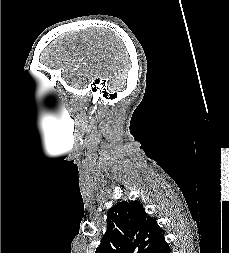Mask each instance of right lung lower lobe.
<instances>
[{
  "label": "right lung lower lobe",
  "mask_w": 229,
  "mask_h": 253,
  "mask_svg": "<svg viewBox=\"0 0 229 253\" xmlns=\"http://www.w3.org/2000/svg\"><path fill=\"white\" fill-rule=\"evenodd\" d=\"M152 253H170V247L164 240L152 251Z\"/></svg>",
  "instance_id": "right-lung-lower-lobe-1"
}]
</instances>
